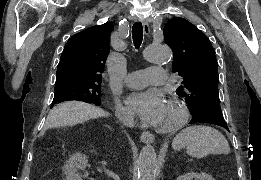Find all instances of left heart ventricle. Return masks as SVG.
Segmentation results:
<instances>
[{"mask_svg": "<svg viewBox=\"0 0 261 180\" xmlns=\"http://www.w3.org/2000/svg\"><path fill=\"white\" fill-rule=\"evenodd\" d=\"M172 115V106L170 105L169 101L166 100L163 109L161 110L160 114L158 115L154 124L157 125H166L171 118Z\"/></svg>", "mask_w": 261, "mask_h": 180, "instance_id": "1", "label": "left heart ventricle"}]
</instances>
